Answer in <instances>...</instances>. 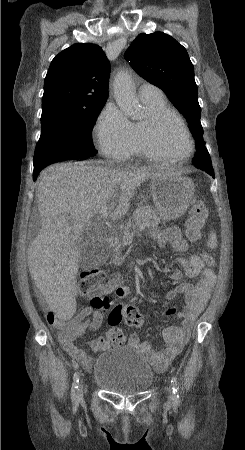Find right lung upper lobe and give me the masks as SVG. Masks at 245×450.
Here are the masks:
<instances>
[{
  "label": "right lung upper lobe",
  "instance_id": "obj_1",
  "mask_svg": "<svg viewBox=\"0 0 245 450\" xmlns=\"http://www.w3.org/2000/svg\"><path fill=\"white\" fill-rule=\"evenodd\" d=\"M110 70L108 59L97 45L78 43L63 50L47 72L42 109H92L105 104Z\"/></svg>",
  "mask_w": 245,
  "mask_h": 450
}]
</instances>
